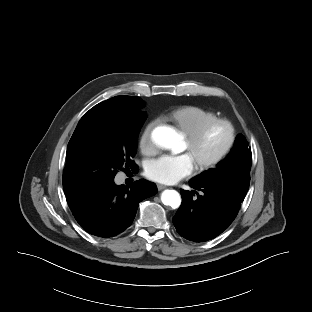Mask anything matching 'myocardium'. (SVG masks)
<instances>
[{"instance_id":"1","label":"myocardium","mask_w":312,"mask_h":312,"mask_svg":"<svg viewBox=\"0 0 312 312\" xmlns=\"http://www.w3.org/2000/svg\"><path fill=\"white\" fill-rule=\"evenodd\" d=\"M217 125H224L228 129L227 143L217 155L195 165V169L197 171L202 172V171L211 169L215 167L216 165H218L219 163H221L228 156V154L233 149L236 139H237V132H236L235 125L233 124L232 121H230L227 118H215L205 123L196 131L188 135H184L185 141L187 143V147L189 150H191L199 141H201L209 133V131L212 128H214Z\"/></svg>"}]
</instances>
